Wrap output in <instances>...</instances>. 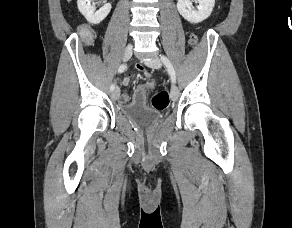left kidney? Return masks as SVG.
<instances>
[{
	"label": "left kidney",
	"mask_w": 292,
	"mask_h": 228,
	"mask_svg": "<svg viewBox=\"0 0 292 228\" xmlns=\"http://www.w3.org/2000/svg\"><path fill=\"white\" fill-rule=\"evenodd\" d=\"M197 10L193 9L190 0H178L177 9L184 19L190 23H200L207 19L215 5V0H197Z\"/></svg>",
	"instance_id": "obj_1"
}]
</instances>
